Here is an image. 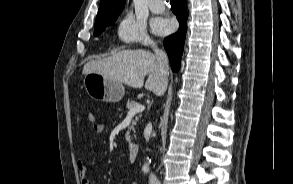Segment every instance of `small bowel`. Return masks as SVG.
I'll use <instances>...</instances> for the list:
<instances>
[{
  "label": "small bowel",
  "instance_id": "c3829d8e",
  "mask_svg": "<svg viewBox=\"0 0 293 184\" xmlns=\"http://www.w3.org/2000/svg\"><path fill=\"white\" fill-rule=\"evenodd\" d=\"M105 130V125L102 123H94L93 124V131L95 134H101ZM77 168L79 172V177L81 184H93L92 180L89 178V167L88 165L83 161L79 160L77 162ZM132 184H137V183H132Z\"/></svg>",
  "mask_w": 293,
  "mask_h": 184
}]
</instances>
